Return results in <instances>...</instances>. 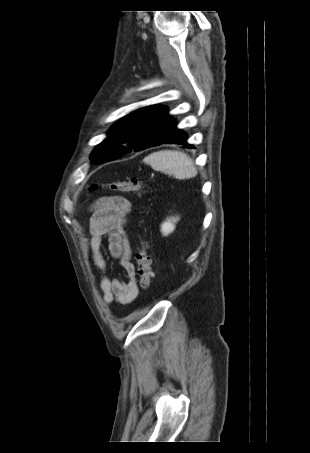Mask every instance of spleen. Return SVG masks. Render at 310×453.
Wrapping results in <instances>:
<instances>
[{"mask_svg":"<svg viewBox=\"0 0 310 453\" xmlns=\"http://www.w3.org/2000/svg\"><path fill=\"white\" fill-rule=\"evenodd\" d=\"M143 162L156 171L180 180L193 178L197 174L193 160L187 154L176 150L154 152L145 157Z\"/></svg>","mask_w":310,"mask_h":453,"instance_id":"1","label":"spleen"}]
</instances>
